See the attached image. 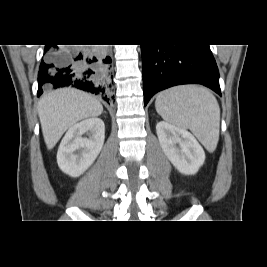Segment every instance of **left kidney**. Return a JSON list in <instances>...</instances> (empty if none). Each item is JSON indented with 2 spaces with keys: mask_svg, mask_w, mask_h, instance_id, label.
<instances>
[{
  "mask_svg": "<svg viewBox=\"0 0 267 267\" xmlns=\"http://www.w3.org/2000/svg\"><path fill=\"white\" fill-rule=\"evenodd\" d=\"M159 143L177 170L185 175L196 174L205 160V153L196 138L186 129L161 121L156 125Z\"/></svg>",
  "mask_w": 267,
  "mask_h": 267,
  "instance_id": "5707ae66",
  "label": "left kidney"
}]
</instances>
